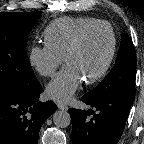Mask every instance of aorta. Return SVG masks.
<instances>
[{
	"mask_svg": "<svg viewBox=\"0 0 144 144\" xmlns=\"http://www.w3.org/2000/svg\"><path fill=\"white\" fill-rule=\"evenodd\" d=\"M53 122L58 128H66L71 123L70 114L67 111L58 110L53 114Z\"/></svg>",
	"mask_w": 144,
	"mask_h": 144,
	"instance_id": "obj_1",
	"label": "aorta"
}]
</instances>
